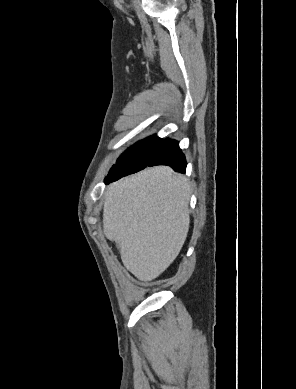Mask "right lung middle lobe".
<instances>
[{"label":"right lung middle lobe","mask_w":296,"mask_h":389,"mask_svg":"<svg viewBox=\"0 0 296 389\" xmlns=\"http://www.w3.org/2000/svg\"><path fill=\"white\" fill-rule=\"evenodd\" d=\"M161 141L162 139L155 135L137 142L121 155L110 171L138 168L145 165L147 156Z\"/></svg>","instance_id":"right-lung-middle-lobe-1"}]
</instances>
